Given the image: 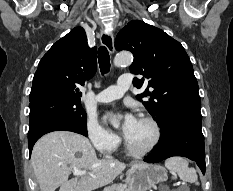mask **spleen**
Here are the masks:
<instances>
[{"label":"spleen","mask_w":233,"mask_h":191,"mask_svg":"<svg viewBox=\"0 0 233 191\" xmlns=\"http://www.w3.org/2000/svg\"><path fill=\"white\" fill-rule=\"evenodd\" d=\"M165 167L170 170L172 178L176 179L179 176L183 181L195 183L199 185L197 173L194 168L188 167V162L181 157H172L165 161ZM182 191V190H178Z\"/></svg>","instance_id":"3e777b00"}]
</instances>
